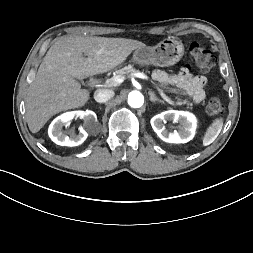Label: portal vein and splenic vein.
Listing matches in <instances>:
<instances>
[{
    "instance_id": "1",
    "label": "portal vein and splenic vein",
    "mask_w": 253,
    "mask_h": 253,
    "mask_svg": "<svg viewBox=\"0 0 253 253\" xmlns=\"http://www.w3.org/2000/svg\"><path fill=\"white\" fill-rule=\"evenodd\" d=\"M134 77L137 78H141V79H145L148 80V76L145 75L144 73L141 72H135L133 73ZM124 81V77L123 76H114L112 78H110L109 80L106 81V84H109L111 86H118L120 85L122 82ZM158 90L160 91V95L161 97L168 102L169 104H173V102L158 88Z\"/></svg>"
}]
</instances>
